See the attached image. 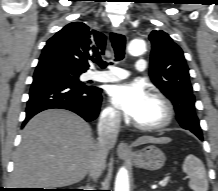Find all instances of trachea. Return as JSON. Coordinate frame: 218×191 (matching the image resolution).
I'll return each mask as SVG.
<instances>
[{
  "label": "trachea",
  "instance_id": "trachea-1",
  "mask_svg": "<svg viewBox=\"0 0 218 191\" xmlns=\"http://www.w3.org/2000/svg\"><path fill=\"white\" fill-rule=\"evenodd\" d=\"M110 36L111 43L115 52V58L116 60H122L125 55V36L118 33H111ZM94 62L97 63L101 68H105L107 66V63L99 57L95 59Z\"/></svg>",
  "mask_w": 218,
  "mask_h": 191
}]
</instances>
